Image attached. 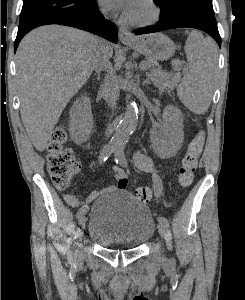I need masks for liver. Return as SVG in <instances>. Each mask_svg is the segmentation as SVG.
Segmentation results:
<instances>
[{
	"instance_id": "liver-1",
	"label": "liver",
	"mask_w": 245,
	"mask_h": 300,
	"mask_svg": "<svg viewBox=\"0 0 245 300\" xmlns=\"http://www.w3.org/2000/svg\"><path fill=\"white\" fill-rule=\"evenodd\" d=\"M98 43L109 60L113 54L109 42L71 27L42 26L20 42L16 52L20 114L38 151H44L62 111L90 77Z\"/></svg>"
}]
</instances>
